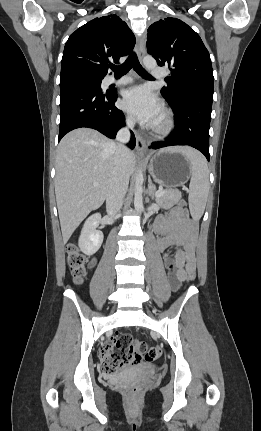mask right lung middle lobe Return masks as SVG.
I'll list each match as a JSON object with an SVG mask.
<instances>
[{"mask_svg": "<svg viewBox=\"0 0 261 431\" xmlns=\"http://www.w3.org/2000/svg\"><path fill=\"white\" fill-rule=\"evenodd\" d=\"M103 77L94 75L87 71L82 70H72L61 73L60 82L67 80H79V81H89L93 83L100 91L101 90V80Z\"/></svg>", "mask_w": 261, "mask_h": 431, "instance_id": "obj_1", "label": "right lung middle lobe"}]
</instances>
